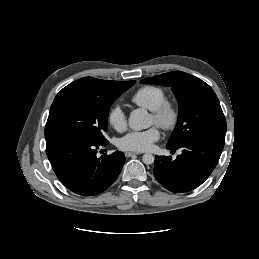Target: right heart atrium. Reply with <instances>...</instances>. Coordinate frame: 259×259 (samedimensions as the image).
<instances>
[{"label": "right heart atrium", "mask_w": 259, "mask_h": 259, "mask_svg": "<svg viewBox=\"0 0 259 259\" xmlns=\"http://www.w3.org/2000/svg\"><path fill=\"white\" fill-rule=\"evenodd\" d=\"M109 124L117 131H123L127 126V118L124 110L119 106H113L107 116Z\"/></svg>", "instance_id": "d8ad5b80"}]
</instances>
